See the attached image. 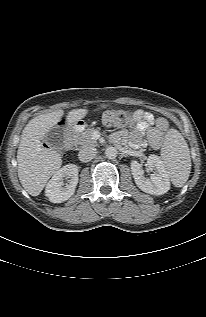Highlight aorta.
Returning a JSON list of instances; mask_svg holds the SVG:
<instances>
[{"mask_svg":"<svg viewBox=\"0 0 206 317\" xmlns=\"http://www.w3.org/2000/svg\"><path fill=\"white\" fill-rule=\"evenodd\" d=\"M118 151L115 147H108L105 150V155L108 159H115L117 157Z\"/></svg>","mask_w":206,"mask_h":317,"instance_id":"1","label":"aorta"}]
</instances>
